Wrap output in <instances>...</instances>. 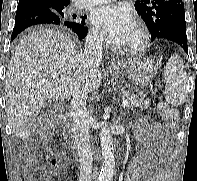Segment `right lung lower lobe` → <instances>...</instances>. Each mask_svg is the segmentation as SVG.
<instances>
[{
  "label": "right lung lower lobe",
  "mask_w": 197,
  "mask_h": 181,
  "mask_svg": "<svg viewBox=\"0 0 197 181\" xmlns=\"http://www.w3.org/2000/svg\"><path fill=\"white\" fill-rule=\"evenodd\" d=\"M40 24L70 28L78 35L79 39H83L88 31L84 23L62 20L50 8L43 4L20 0L17 6L15 28L11 40H14L26 28Z\"/></svg>",
  "instance_id": "1"
}]
</instances>
